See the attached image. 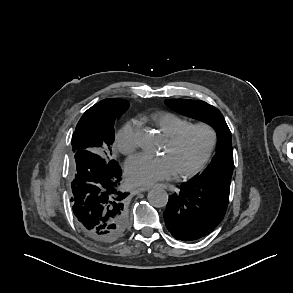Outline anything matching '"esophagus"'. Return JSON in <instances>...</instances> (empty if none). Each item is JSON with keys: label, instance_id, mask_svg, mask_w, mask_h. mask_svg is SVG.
I'll return each instance as SVG.
<instances>
[{"label": "esophagus", "instance_id": "34e87169", "mask_svg": "<svg viewBox=\"0 0 293 293\" xmlns=\"http://www.w3.org/2000/svg\"><path fill=\"white\" fill-rule=\"evenodd\" d=\"M159 187H161V188H163V189H166L167 188V186L166 185H164V184H160V185H158ZM152 187H140V188H138L137 190H136V192L137 193H141V192H145V191H148L149 189H151Z\"/></svg>", "mask_w": 293, "mask_h": 293}]
</instances>
